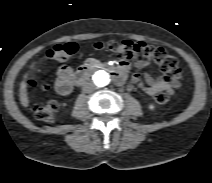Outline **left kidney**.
Wrapping results in <instances>:
<instances>
[{
  "label": "left kidney",
  "mask_w": 212,
  "mask_h": 183,
  "mask_svg": "<svg viewBox=\"0 0 212 183\" xmlns=\"http://www.w3.org/2000/svg\"><path fill=\"white\" fill-rule=\"evenodd\" d=\"M149 109L154 111L155 110V106L151 104V105H149Z\"/></svg>",
  "instance_id": "obj_1"
}]
</instances>
